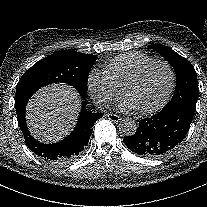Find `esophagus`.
<instances>
[{
	"instance_id": "obj_1",
	"label": "esophagus",
	"mask_w": 207,
	"mask_h": 207,
	"mask_svg": "<svg viewBox=\"0 0 207 207\" xmlns=\"http://www.w3.org/2000/svg\"><path fill=\"white\" fill-rule=\"evenodd\" d=\"M107 117L111 121H113V122H117V121H120L121 120V117L119 115H117V114H111V113H109V114H107Z\"/></svg>"
}]
</instances>
